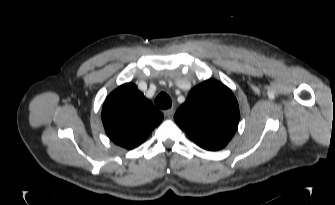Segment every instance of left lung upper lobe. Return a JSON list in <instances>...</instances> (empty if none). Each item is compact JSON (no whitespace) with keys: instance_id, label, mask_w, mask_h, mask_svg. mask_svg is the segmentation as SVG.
<instances>
[{"instance_id":"left-lung-upper-lobe-1","label":"left lung upper lobe","mask_w":335,"mask_h":205,"mask_svg":"<svg viewBox=\"0 0 335 205\" xmlns=\"http://www.w3.org/2000/svg\"><path fill=\"white\" fill-rule=\"evenodd\" d=\"M174 119L198 146L216 151L233 137L239 122V107L228 87L209 79L190 91Z\"/></svg>"}]
</instances>
